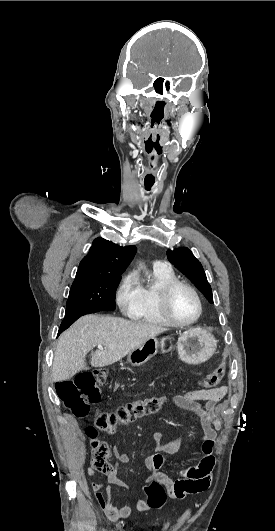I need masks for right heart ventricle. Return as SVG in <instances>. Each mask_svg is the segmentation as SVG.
Instances as JSON below:
<instances>
[{"label":"right heart ventricle","instance_id":"obj_1","mask_svg":"<svg viewBox=\"0 0 275 531\" xmlns=\"http://www.w3.org/2000/svg\"><path fill=\"white\" fill-rule=\"evenodd\" d=\"M153 277V283L141 285L140 305L132 318L146 324L170 326L171 323L166 320L159 307V292L162 285L175 280L176 276L170 270L158 269L154 271Z\"/></svg>","mask_w":275,"mask_h":531}]
</instances>
